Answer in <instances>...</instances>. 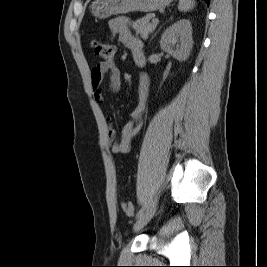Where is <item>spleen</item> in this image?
I'll return each instance as SVG.
<instances>
[{"label":"spleen","mask_w":267,"mask_h":267,"mask_svg":"<svg viewBox=\"0 0 267 267\" xmlns=\"http://www.w3.org/2000/svg\"><path fill=\"white\" fill-rule=\"evenodd\" d=\"M194 6H195L194 0H179L178 9L179 11L186 12L193 9Z\"/></svg>","instance_id":"1"}]
</instances>
